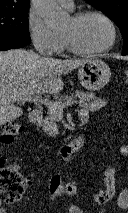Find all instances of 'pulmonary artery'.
<instances>
[{"mask_svg": "<svg viewBox=\"0 0 128 213\" xmlns=\"http://www.w3.org/2000/svg\"><path fill=\"white\" fill-rule=\"evenodd\" d=\"M62 6H65L68 9H73L74 3L73 0H57Z\"/></svg>", "mask_w": 128, "mask_h": 213, "instance_id": "obj_1", "label": "pulmonary artery"}]
</instances>
